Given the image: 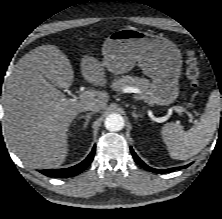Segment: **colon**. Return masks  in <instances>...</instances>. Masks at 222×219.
Wrapping results in <instances>:
<instances>
[{"instance_id":"5ec220e1","label":"colon","mask_w":222,"mask_h":219,"mask_svg":"<svg viewBox=\"0 0 222 219\" xmlns=\"http://www.w3.org/2000/svg\"><path fill=\"white\" fill-rule=\"evenodd\" d=\"M200 67L197 56L193 51L187 53L186 58V77L192 87H198L200 84Z\"/></svg>"}]
</instances>
